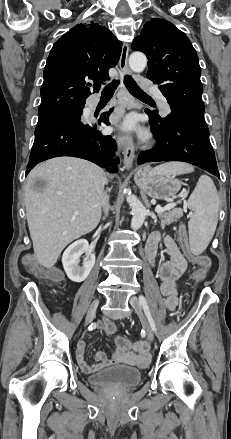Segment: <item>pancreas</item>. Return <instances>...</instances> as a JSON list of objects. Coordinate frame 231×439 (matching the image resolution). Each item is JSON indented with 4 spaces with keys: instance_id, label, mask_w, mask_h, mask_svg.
I'll return each mask as SVG.
<instances>
[{
    "instance_id": "1",
    "label": "pancreas",
    "mask_w": 231,
    "mask_h": 439,
    "mask_svg": "<svg viewBox=\"0 0 231 439\" xmlns=\"http://www.w3.org/2000/svg\"><path fill=\"white\" fill-rule=\"evenodd\" d=\"M181 216H182L181 209H173L169 212L159 213L158 217L160 219L161 228L170 225L172 222H177Z\"/></svg>"
}]
</instances>
